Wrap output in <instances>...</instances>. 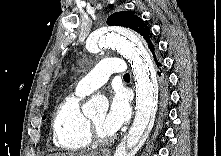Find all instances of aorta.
I'll return each instance as SVG.
<instances>
[{"mask_svg":"<svg viewBox=\"0 0 221 156\" xmlns=\"http://www.w3.org/2000/svg\"><path fill=\"white\" fill-rule=\"evenodd\" d=\"M100 47L119 51L131 63L136 86V114L126 140L115 156H132L143 144L153 127L157 110L158 85L152 60L140 39L131 31L110 27L98 36ZM108 102L93 97L82 108L85 116L106 110Z\"/></svg>","mask_w":221,"mask_h":156,"instance_id":"1","label":"aorta"}]
</instances>
